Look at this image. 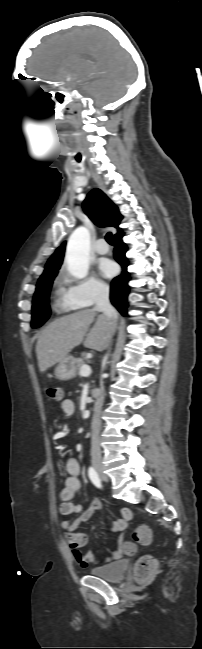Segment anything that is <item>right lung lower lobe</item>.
Returning a JSON list of instances; mask_svg holds the SVG:
<instances>
[{
	"mask_svg": "<svg viewBox=\"0 0 202 649\" xmlns=\"http://www.w3.org/2000/svg\"><path fill=\"white\" fill-rule=\"evenodd\" d=\"M122 237L123 232L114 236V258L121 265L122 272L112 280L110 287V300L123 316H127V297L129 293L127 283L130 280V276L127 272L128 260L125 257L127 246L122 241Z\"/></svg>",
	"mask_w": 202,
	"mask_h": 649,
	"instance_id": "1",
	"label": "right lung lower lobe"
}]
</instances>
